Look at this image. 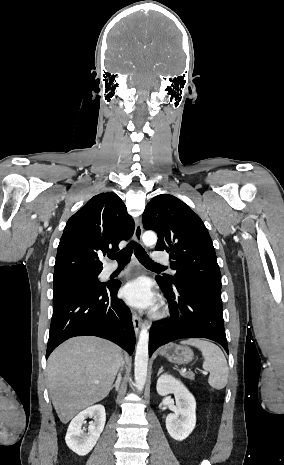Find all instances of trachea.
Instances as JSON below:
<instances>
[{
  "mask_svg": "<svg viewBox=\"0 0 284 465\" xmlns=\"http://www.w3.org/2000/svg\"><path fill=\"white\" fill-rule=\"evenodd\" d=\"M133 250L135 256L138 258L139 262L142 263V265L154 269H166V267H164L163 265L153 262V260H151V258L145 252V250L140 245H138V243L135 242H130L126 248H123V250H121L118 253L108 255V257L112 260H117L119 265H126L130 261Z\"/></svg>",
  "mask_w": 284,
  "mask_h": 465,
  "instance_id": "obj_1",
  "label": "trachea"
}]
</instances>
